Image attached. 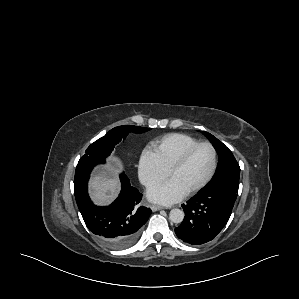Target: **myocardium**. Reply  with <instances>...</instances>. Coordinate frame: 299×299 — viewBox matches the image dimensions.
Here are the masks:
<instances>
[{"label": "myocardium", "mask_w": 299, "mask_h": 299, "mask_svg": "<svg viewBox=\"0 0 299 299\" xmlns=\"http://www.w3.org/2000/svg\"><path fill=\"white\" fill-rule=\"evenodd\" d=\"M200 146H208L211 149L212 157H213L212 167H211L208 175L199 184H197L196 186L189 189L186 192L187 194H194V193L200 191L211 181V179L215 175V172H216L217 166H218V156H217V150H216L215 146L211 142H208V141L197 142V143L191 145L180 155V157L175 161V163L171 166V168L169 170V177L171 178L172 175L187 162L190 155Z\"/></svg>", "instance_id": "obj_1"}]
</instances>
